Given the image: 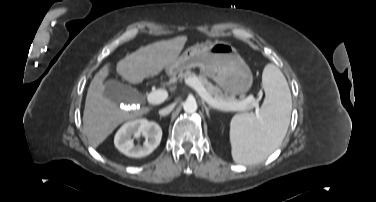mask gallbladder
I'll list each match as a JSON object with an SVG mask.
<instances>
[{"mask_svg": "<svg viewBox=\"0 0 376 202\" xmlns=\"http://www.w3.org/2000/svg\"><path fill=\"white\" fill-rule=\"evenodd\" d=\"M104 85L103 96L108 100L124 104L136 102L139 92L135 88L116 80H107Z\"/></svg>", "mask_w": 376, "mask_h": 202, "instance_id": "bac80fb5", "label": "gallbladder"}]
</instances>
